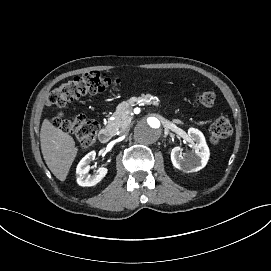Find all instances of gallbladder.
<instances>
[{"label": "gallbladder", "instance_id": "bac80fb5", "mask_svg": "<svg viewBox=\"0 0 271 271\" xmlns=\"http://www.w3.org/2000/svg\"><path fill=\"white\" fill-rule=\"evenodd\" d=\"M62 116H63V113L60 112V113L58 114V117H62Z\"/></svg>", "mask_w": 271, "mask_h": 271}]
</instances>
